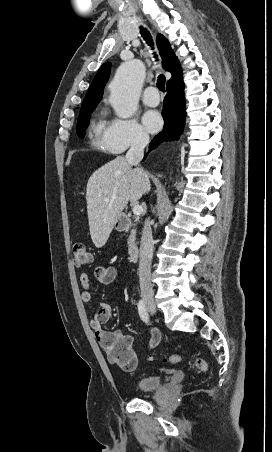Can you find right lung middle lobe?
<instances>
[{
	"instance_id": "1",
	"label": "right lung middle lobe",
	"mask_w": 272,
	"mask_h": 452,
	"mask_svg": "<svg viewBox=\"0 0 272 452\" xmlns=\"http://www.w3.org/2000/svg\"><path fill=\"white\" fill-rule=\"evenodd\" d=\"M97 104H90L81 106V110L78 117V123H77V134L80 136V138H83L85 135V129L89 125V116L92 110L96 108Z\"/></svg>"
}]
</instances>
